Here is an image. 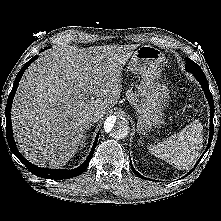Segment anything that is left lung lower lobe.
<instances>
[{
	"label": "left lung lower lobe",
	"instance_id": "0a47b994",
	"mask_svg": "<svg viewBox=\"0 0 221 221\" xmlns=\"http://www.w3.org/2000/svg\"><path fill=\"white\" fill-rule=\"evenodd\" d=\"M193 75H194L195 78L199 81V83H200L202 89L204 90V93H205V95H206V98L208 99V102H209V104H210V109H211V115H210V137H209L208 147H207V149L205 150V152H206V151L209 149V146H210V144H211L212 137H213L214 101H213L212 94H211V92H210V90H209V85H208V82H207V79H206V77H205L204 72H203V71H202V72H193ZM205 152H204V154H205ZM204 154H203V155H204ZM203 155L201 156V158L203 157ZM201 158H200V160H201ZM200 160H199V161H200ZM199 161L196 163L195 167L197 166V164L199 163ZM130 164H131V168H132L133 172H134L138 177H140V178H142V179H146V180L148 179V178L142 176L141 174H139V173L134 169V167L132 166V163H131V162H130ZM195 167H194V169H195ZM194 169H192L187 175H189ZM187 175H185L184 177H186ZM148 180H150V179H148Z\"/></svg>",
	"mask_w": 221,
	"mask_h": 221
}]
</instances>
